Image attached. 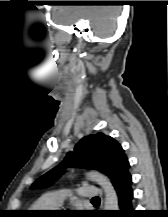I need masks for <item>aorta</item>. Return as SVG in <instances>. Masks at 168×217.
Wrapping results in <instances>:
<instances>
[{
  "label": "aorta",
  "instance_id": "762f6f07",
  "mask_svg": "<svg viewBox=\"0 0 168 217\" xmlns=\"http://www.w3.org/2000/svg\"><path fill=\"white\" fill-rule=\"evenodd\" d=\"M89 178L99 184L105 193V210H119L118 197L110 179L104 174L92 171L89 173Z\"/></svg>",
  "mask_w": 168,
  "mask_h": 217
}]
</instances>
